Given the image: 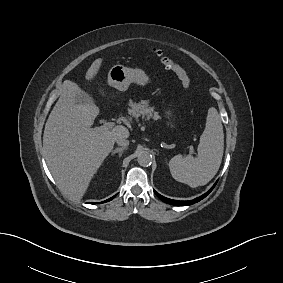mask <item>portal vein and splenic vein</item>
<instances>
[{"label":"portal vein and splenic vein","instance_id":"1","mask_svg":"<svg viewBox=\"0 0 283 283\" xmlns=\"http://www.w3.org/2000/svg\"><path fill=\"white\" fill-rule=\"evenodd\" d=\"M116 125L114 122H108V121H104L103 125L98 127V130H110L112 128H114ZM190 154H194V150H193V146H190Z\"/></svg>","mask_w":283,"mask_h":283}]
</instances>
